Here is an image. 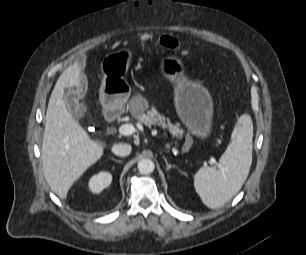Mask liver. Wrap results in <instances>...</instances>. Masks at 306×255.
Instances as JSON below:
<instances>
[{
  "label": "liver",
  "mask_w": 306,
  "mask_h": 255,
  "mask_svg": "<svg viewBox=\"0 0 306 255\" xmlns=\"http://www.w3.org/2000/svg\"><path fill=\"white\" fill-rule=\"evenodd\" d=\"M81 66L70 65L58 78L49 99L42 142L44 177L61 199L103 155L104 147L90 139L87 132L67 110L64 89L81 85Z\"/></svg>",
  "instance_id": "6515ba94"
}]
</instances>
